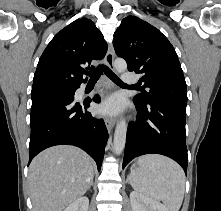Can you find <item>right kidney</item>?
I'll return each instance as SVG.
<instances>
[{"label": "right kidney", "instance_id": "1", "mask_svg": "<svg viewBox=\"0 0 221 211\" xmlns=\"http://www.w3.org/2000/svg\"><path fill=\"white\" fill-rule=\"evenodd\" d=\"M89 199L84 196L75 200L64 211H88Z\"/></svg>", "mask_w": 221, "mask_h": 211}]
</instances>
